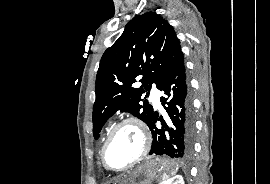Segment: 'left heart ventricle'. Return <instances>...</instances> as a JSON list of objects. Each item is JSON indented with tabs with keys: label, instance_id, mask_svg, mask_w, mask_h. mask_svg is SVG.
<instances>
[{
	"label": "left heart ventricle",
	"instance_id": "obj_1",
	"mask_svg": "<svg viewBox=\"0 0 270 184\" xmlns=\"http://www.w3.org/2000/svg\"><path fill=\"white\" fill-rule=\"evenodd\" d=\"M142 146L143 141L139 130L134 125H124L108 148L107 163L113 168H122L139 156Z\"/></svg>",
	"mask_w": 270,
	"mask_h": 184
}]
</instances>
